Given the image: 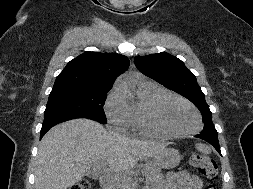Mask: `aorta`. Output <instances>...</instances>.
Returning <instances> with one entry per match:
<instances>
[{
	"instance_id": "762f6f07",
	"label": "aorta",
	"mask_w": 253,
	"mask_h": 189,
	"mask_svg": "<svg viewBox=\"0 0 253 189\" xmlns=\"http://www.w3.org/2000/svg\"><path fill=\"white\" fill-rule=\"evenodd\" d=\"M119 86L126 92L128 93L129 96H131L130 93V85L127 82H120Z\"/></svg>"
}]
</instances>
